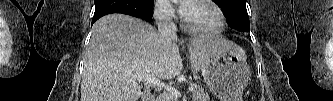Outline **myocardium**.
Here are the masks:
<instances>
[{
    "label": "myocardium",
    "mask_w": 333,
    "mask_h": 101,
    "mask_svg": "<svg viewBox=\"0 0 333 101\" xmlns=\"http://www.w3.org/2000/svg\"><path fill=\"white\" fill-rule=\"evenodd\" d=\"M190 2H202V3H205V4L209 5L210 7H212L213 10L216 12V14L218 16L219 24H218L217 28L212 32L196 31L188 25V23L186 21V18H185V15L181 11V26L187 33H189L191 35H194V36H197V37H215V36L219 35L224 30V27H225L224 14H223L222 10L220 9V7L216 3H214L211 0H194V1H190Z\"/></svg>",
    "instance_id": "obj_1"
}]
</instances>
